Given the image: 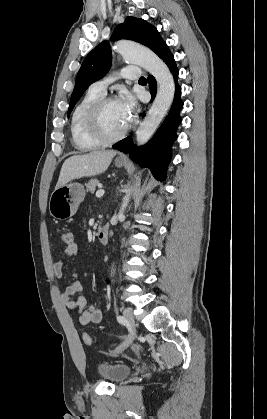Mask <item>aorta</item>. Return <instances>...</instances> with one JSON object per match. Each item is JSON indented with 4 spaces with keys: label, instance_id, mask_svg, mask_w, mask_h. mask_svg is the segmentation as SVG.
<instances>
[{
    "label": "aorta",
    "instance_id": "aorta-1",
    "mask_svg": "<svg viewBox=\"0 0 267 419\" xmlns=\"http://www.w3.org/2000/svg\"><path fill=\"white\" fill-rule=\"evenodd\" d=\"M114 49L122 55L124 60L137 64L150 72L158 84L155 100L136 132L137 144L143 145L154 134L172 104L175 94L174 79L167 65L151 50L128 41L116 43ZM129 201L130 190H126L118 213L119 219L124 217V211Z\"/></svg>",
    "mask_w": 267,
    "mask_h": 419
}]
</instances>
